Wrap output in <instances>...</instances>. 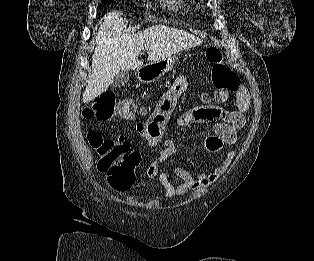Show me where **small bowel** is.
Returning <instances> with one entry per match:
<instances>
[{"label": "small bowel", "instance_id": "obj_1", "mask_svg": "<svg viewBox=\"0 0 314 261\" xmlns=\"http://www.w3.org/2000/svg\"><path fill=\"white\" fill-rule=\"evenodd\" d=\"M187 87L186 75L178 76L159 100L150 119L137 124L136 131L147 145L155 146L163 136L165 125L174 111L178 99L184 94ZM249 105L250 98L247 90L240 88L236 92V108L224 105H205L193 110L185 109L184 114L175 116V123H212L213 133L204 139L202 147L209 152L220 153L226 146L236 143L237 133L245 125L243 114ZM162 143L164 148L148 165L147 175L158 180L168 198L209 188L227 172L234 158V153L228 151L223 156L220 165L209 172L200 173L196 177L180 167H173L172 173L180 179L178 184H173L163 168V163L175 152V143L169 137L163 138Z\"/></svg>", "mask_w": 314, "mask_h": 261}]
</instances>
